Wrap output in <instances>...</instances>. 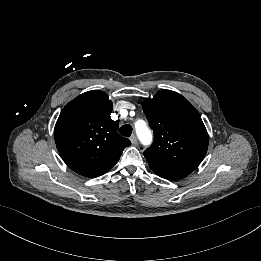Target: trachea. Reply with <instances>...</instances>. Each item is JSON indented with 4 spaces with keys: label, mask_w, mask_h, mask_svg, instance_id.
I'll list each match as a JSON object with an SVG mask.
<instances>
[{
    "label": "trachea",
    "mask_w": 261,
    "mask_h": 261,
    "mask_svg": "<svg viewBox=\"0 0 261 261\" xmlns=\"http://www.w3.org/2000/svg\"><path fill=\"white\" fill-rule=\"evenodd\" d=\"M119 133L125 137H130L132 134V127L129 124H125L119 128Z\"/></svg>",
    "instance_id": "1"
}]
</instances>
